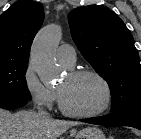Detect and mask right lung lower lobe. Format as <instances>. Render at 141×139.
Segmentation results:
<instances>
[{
  "label": "right lung lower lobe",
  "instance_id": "obj_1",
  "mask_svg": "<svg viewBox=\"0 0 141 139\" xmlns=\"http://www.w3.org/2000/svg\"><path fill=\"white\" fill-rule=\"evenodd\" d=\"M28 101H7L0 102V108L4 109H16L24 106Z\"/></svg>",
  "mask_w": 141,
  "mask_h": 139
}]
</instances>
